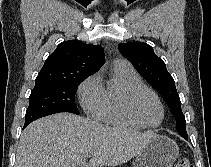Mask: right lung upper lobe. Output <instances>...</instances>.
Instances as JSON below:
<instances>
[{
    "label": "right lung upper lobe",
    "mask_w": 211,
    "mask_h": 167,
    "mask_svg": "<svg viewBox=\"0 0 211 167\" xmlns=\"http://www.w3.org/2000/svg\"><path fill=\"white\" fill-rule=\"evenodd\" d=\"M104 61V51L100 45H88L78 40L64 41L45 60L35 84L86 78L97 72Z\"/></svg>",
    "instance_id": "cb5924a9"
}]
</instances>
